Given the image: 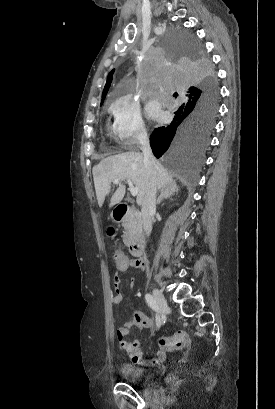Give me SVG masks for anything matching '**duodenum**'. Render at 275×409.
<instances>
[{
	"label": "duodenum",
	"instance_id": "duodenum-1",
	"mask_svg": "<svg viewBox=\"0 0 275 409\" xmlns=\"http://www.w3.org/2000/svg\"><path fill=\"white\" fill-rule=\"evenodd\" d=\"M130 207L127 204L120 203L114 209V219L117 222H122L128 216ZM129 249L132 255L136 257L142 256L145 250V237L141 231H136L132 235Z\"/></svg>",
	"mask_w": 275,
	"mask_h": 409
}]
</instances>
